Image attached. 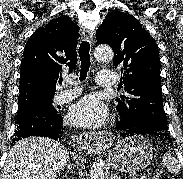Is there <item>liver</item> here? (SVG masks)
I'll list each match as a JSON object with an SVG mask.
<instances>
[{"label":"liver","mask_w":183,"mask_h":179,"mask_svg":"<svg viewBox=\"0 0 183 179\" xmlns=\"http://www.w3.org/2000/svg\"><path fill=\"white\" fill-rule=\"evenodd\" d=\"M69 162V152L59 142L44 137H28L9 151L3 179H56Z\"/></svg>","instance_id":"liver-1"}]
</instances>
